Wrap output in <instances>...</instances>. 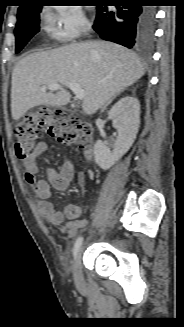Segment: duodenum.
<instances>
[{
    "instance_id": "1",
    "label": "duodenum",
    "mask_w": 184,
    "mask_h": 327,
    "mask_svg": "<svg viewBox=\"0 0 184 327\" xmlns=\"http://www.w3.org/2000/svg\"><path fill=\"white\" fill-rule=\"evenodd\" d=\"M92 147L90 145L86 146L84 149H83V154H84V157L86 159H90L92 157Z\"/></svg>"
}]
</instances>
